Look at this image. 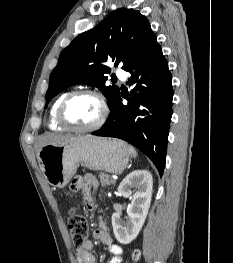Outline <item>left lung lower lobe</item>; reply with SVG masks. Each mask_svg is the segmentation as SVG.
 <instances>
[{"mask_svg": "<svg viewBox=\"0 0 233 263\" xmlns=\"http://www.w3.org/2000/svg\"><path fill=\"white\" fill-rule=\"evenodd\" d=\"M133 87L127 105L117 98L100 130L93 135L125 140L146 154L162 176L172 116L173 87L168 63L153 39L125 69Z\"/></svg>", "mask_w": 233, "mask_h": 263, "instance_id": "1", "label": "left lung lower lobe"}]
</instances>
